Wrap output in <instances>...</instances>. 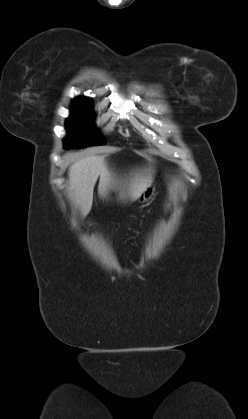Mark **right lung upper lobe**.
Here are the masks:
<instances>
[{"label":"right lung upper lobe","mask_w":248,"mask_h":419,"mask_svg":"<svg viewBox=\"0 0 248 419\" xmlns=\"http://www.w3.org/2000/svg\"><path fill=\"white\" fill-rule=\"evenodd\" d=\"M76 99H81V100H86V101H89V99H87L86 97H78V98H76Z\"/></svg>","instance_id":"cb5924a9"}]
</instances>
